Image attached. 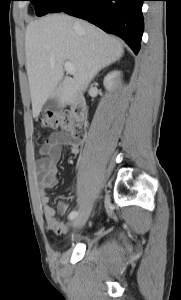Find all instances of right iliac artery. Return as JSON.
Listing matches in <instances>:
<instances>
[{
	"mask_svg": "<svg viewBox=\"0 0 181 300\" xmlns=\"http://www.w3.org/2000/svg\"><path fill=\"white\" fill-rule=\"evenodd\" d=\"M77 216H78V211L74 210L69 214L68 218L69 220H74Z\"/></svg>",
	"mask_w": 181,
	"mask_h": 300,
	"instance_id": "obj_1",
	"label": "right iliac artery"
}]
</instances>
